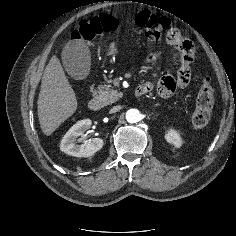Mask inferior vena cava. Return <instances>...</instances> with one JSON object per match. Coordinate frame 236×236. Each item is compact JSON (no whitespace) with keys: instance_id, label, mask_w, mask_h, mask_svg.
I'll return each mask as SVG.
<instances>
[{"instance_id":"1","label":"inferior vena cava","mask_w":236,"mask_h":236,"mask_svg":"<svg viewBox=\"0 0 236 236\" xmlns=\"http://www.w3.org/2000/svg\"><path fill=\"white\" fill-rule=\"evenodd\" d=\"M121 109V106H114L111 108L110 113H115L118 112Z\"/></svg>"}]
</instances>
